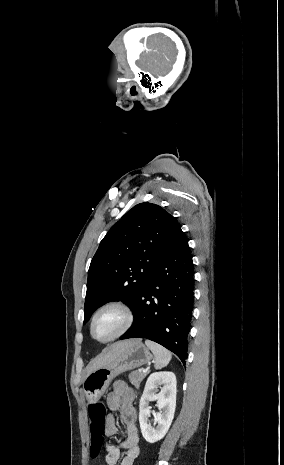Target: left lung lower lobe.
Wrapping results in <instances>:
<instances>
[{"label": "left lung lower lobe", "instance_id": "obj_1", "mask_svg": "<svg viewBox=\"0 0 284 465\" xmlns=\"http://www.w3.org/2000/svg\"><path fill=\"white\" fill-rule=\"evenodd\" d=\"M194 271L182 230L175 243L142 286L133 304L132 326L121 339L146 338L175 353L183 364L194 302Z\"/></svg>", "mask_w": 284, "mask_h": 465}]
</instances>
